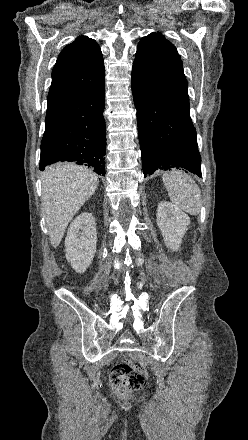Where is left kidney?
<instances>
[{"mask_svg": "<svg viewBox=\"0 0 248 440\" xmlns=\"http://www.w3.org/2000/svg\"><path fill=\"white\" fill-rule=\"evenodd\" d=\"M156 216L165 245L172 251H177L190 224L189 216L168 201L158 204Z\"/></svg>", "mask_w": 248, "mask_h": 440, "instance_id": "5707ae66", "label": "left kidney"}]
</instances>
